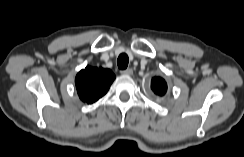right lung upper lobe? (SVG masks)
Listing matches in <instances>:
<instances>
[{
    "label": "right lung upper lobe",
    "instance_id": "cb5924a9",
    "mask_svg": "<svg viewBox=\"0 0 244 157\" xmlns=\"http://www.w3.org/2000/svg\"><path fill=\"white\" fill-rule=\"evenodd\" d=\"M114 79L115 75L109 69L87 66L75 78L80 99L88 104L97 101L106 94Z\"/></svg>",
    "mask_w": 244,
    "mask_h": 157
}]
</instances>
